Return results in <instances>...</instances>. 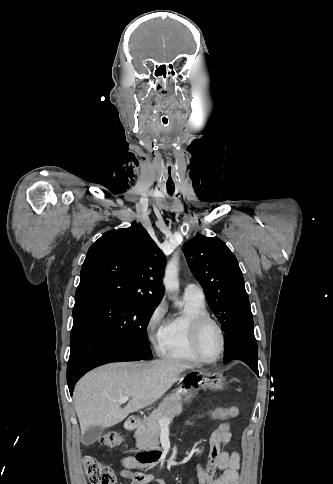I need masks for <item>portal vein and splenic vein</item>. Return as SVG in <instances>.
<instances>
[{
  "mask_svg": "<svg viewBox=\"0 0 333 484\" xmlns=\"http://www.w3.org/2000/svg\"><path fill=\"white\" fill-rule=\"evenodd\" d=\"M128 400H129V397L124 396L118 400V403L121 405L123 403H126ZM172 420H173L172 418H159L158 423L160 424V426H168L172 422Z\"/></svg>",
  "mask_w": 333,
  "mask_h": 484,
  "instance_id": "portal-vein-and-splenic-vein-1",
  "label": "portal vein and splenic vein"
}]
</instances>
